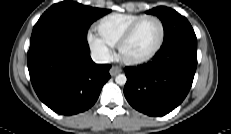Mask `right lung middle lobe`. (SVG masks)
Masks as SVG:
<instances>
[{
  "label": "right lung middle lobe",
  "mask_w": 231,
  "mask_h": 134,
  "mask_svg": "<svg viewBox=\"0 0 231 134\" xmlns=\"http://www.w3.org/2000/svg\"><path fill=\"white\" fill-rule=\"evenodd\" d=\"M110 11L109 9L88 7L66 0L52 5L44 12L35 24L31 37L53 27L86 37L89 26Z\"/></svg>",
  "instance_id": "right-lung-middle-lobe-1"
}]
</instances>
